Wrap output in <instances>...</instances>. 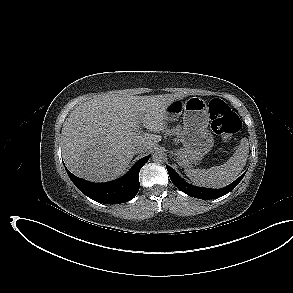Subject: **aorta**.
Instances as JSON below:
<instances>
[{
	"label": "aorta",
	"instance_id": "obj_1",
	"mask_svg": "<svg viewBox=\"0 0 293 293\" xmlns=\"http://www.w3.org/2000/svg\"><path fill=\"white\" fill-rule=\"evenodd\" d=\"M166 159V154L163 150L157 149L152 154V160L156 163L164 162Z\"/></svg>",
	"mask_w": 293,
	"mask_h": 293
}]
</instances>
